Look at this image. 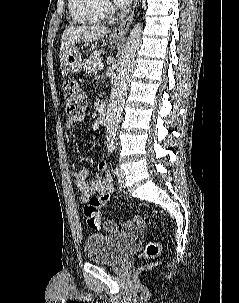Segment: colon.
I'll list each match as a JSON object with an SVG mask.
<instances>
[{"mask_svg":"<svg viewBox=\"0 0 239 303\" xmlns=\"http://www.w3.org/2000/svg\"><path fill=\"white\" fill-rule=\"evenodd\" d=\"M63 98L65 112L69 118H77L86 109V96L80 84L74 79H68L63 83ZM109 200V194L103 193L98 197H91L85 207L84 216L87 225L92 229L101 227L100 208ZM159 253V244L155 240H150L144 250L147 259H153Z\"/></svg>","mask_w":239,"mask_h":303,"instance_id":"colon-1","label":"colon"}]
</instances>
